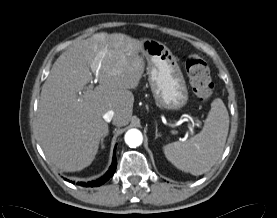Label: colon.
<instances>
[{
	"label": "colon",
	"mask_w": 277,
	"mask_h": 218,
	"mask_svg": "<svg viewBox=\"0 0 277 218\" xmlns=\"http://www.w3.org/2000/svg\"><path fill=\"white\" fill-rule=\"evenodd\" d=\"M185 66L195 96L202 101L209 100L213 94L214 85L206 61L197 54H191L188 56Z\"/></svg>",
	"instance_id": "5ec220e1"
}]
</instances>
